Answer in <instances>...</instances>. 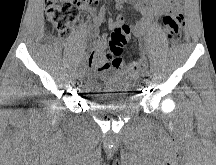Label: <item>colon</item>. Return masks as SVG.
Here are the masks:
<instances>
[{"mask_svg":"<svg viewBox=\"0 0 216 165\" xmlns=\"http://www.w3.org/2000/svg\"><path fill=\"white\" fill-rule=\"evenodd\" d=\"M46 17L49 25L60 37L65 38L71 27L79 20L80 9L84 6H92L99 3V0H46ZM184 24V14L181 12L167 14L163 17V25L167 39L172 41L180 33ZM92 29L91 33L95 34ZM131 33L127 24L113 28L109 48L102 53L93 52L89 60V68L97 73H105L110 67L128 75H135L144 68L143 61L124 63L121 58L123 48L126 45Z\"/></svg>","mask_w":216,"mask_h":165,"instance_id":"obj_1","label":"colon"}]
</instances>
